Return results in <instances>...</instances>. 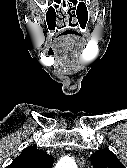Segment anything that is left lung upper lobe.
Here are the masks:
<instances>
[{"instance_id":"obj_1","label":"left lung upper lobe","mask_w":127,"mask_h":168,"mask_svg":"<svg viewBox=\"0 0 127 168\" xmlns=\"http://www.w3.org/2000/svg\"><path fill=\"white\" fill-rule=\"evenodd\" d=\"M91 163L93 168H125L108 148L92 154Z\"/></svg>"}]
</instances>
